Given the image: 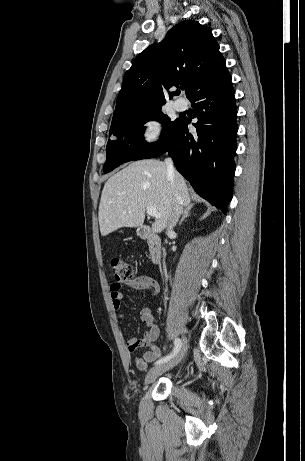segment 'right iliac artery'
I'll list each match as a JSON object with an SVG mask.
<instances>
[{
    "mask_svg": "<svg viewBox=\"0 0 305 461\" xmlns=\"http://www.w3.org/2000/svg\"><path fill=\"white\" fill-rule=\"evenodd\" d=\"M181 346H182V342L179 338H176L175 341H174V349L172 351V353L168 356H165L161 359H159L158 361H156V365L158 364H161L163 362H167L168 360H170L172 357H174L178 352L179 350L181 349Z\"/></svg>",
    "mask_w": 305,
    "mask_h": 461,
    "instance_id": "right-iliac-artery-1",
    "label": "right iliac artery"
}]
</instances>
